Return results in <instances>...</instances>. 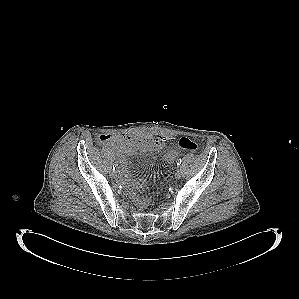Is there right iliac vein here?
Masks as SVG:
<instances>
[{
	"instance_id": "obj_1",
	"label": "right iliac vein",
	"mask_w": 299,
	"mask_h": 299,
	"mask_svg": "<svg viewBox=\"0 0 299 299\" xmlns=\"http://www.w3.org/2000/svg\"><path fill=\"white\" fill-rule=\"evenodd\" d=\"M110 176H111L112 178H117V177H118V174H117V172H115V171H111V172H110Z\"/></svg>"
}]
</instances>
